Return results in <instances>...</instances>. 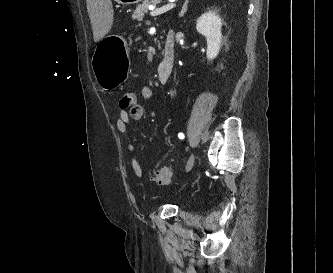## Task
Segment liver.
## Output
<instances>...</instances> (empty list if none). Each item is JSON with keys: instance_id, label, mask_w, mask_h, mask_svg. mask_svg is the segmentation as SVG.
I'll list each match as a JSON object with an SVG mask.
<instances>
[{"instance_id": "6515ba94", "label": "liver", "mask_w": 333, "mask_h": 273, "mask_svg": "<svg viewBox=\"0 0 333 273\" xmlns=\"http://www.w3.org/2000/svg\"><path fill=\"white\" fill-rule=\"evenodd\" d=\"M94 41L101 40L113 24V6L111 0H86Z\"/></svg>"}]
</instances>
